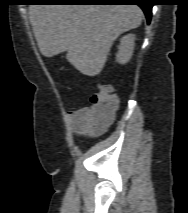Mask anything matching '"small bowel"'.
Here are the masks:
<instances>
[{"mask_svg":"<svg viewBox=\"0 0 188 213\" xmlns=\"http://www.w3.org/2000/svg\"><path fill=\"white\" fill-rule=\"evenodd\" d=\"M89 112V107H83L70 113V118L74 130L78 133H102L110 125L112 119L100 126H94L88 115Z\"/></svg>","mask_w":188,"mask_h":213,"instance_id":"small-bowel-1","label":"small bowel"}]
</instances>
